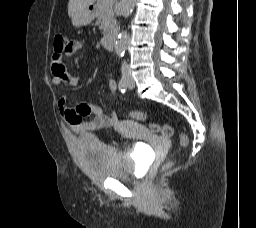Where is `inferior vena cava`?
<instances>
[{"instance_id": "obj_1", "label": "inferior vena cava", "mask_w": 256, "mask_h": 228, "mask_svg": "<svg viewBox=\"0 0 256 228\" xmlns=\"http://www.w3.org/2000/svg\"><path fill=\"white\" fill-rule=\"evenodd\" d=\"M121 70H122V73H127L129 70V66L125 61L122 63Z\"/></svg>"}]
</instances>
